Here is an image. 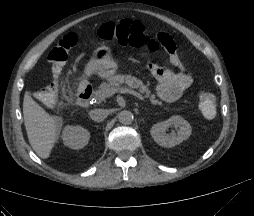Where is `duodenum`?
Listing matches in <instances>:
<instances>
[{
	"mask_svg": "<svg viewBox=\"0 0 254 216\" xmlns=\"http://www.w3.org/2000/svg\"><path fill=\"white\" fill-rule=\"evenodd\" d=\"M92 95V87L90 85H84L80 87L77 91L76 102L79 106L89 105Z\"/></svg>",
	"mask_w": 254,
	"mask_h": 216,
	"instance_id": "1",
	"label": "duodenum"
}]
</instances>
